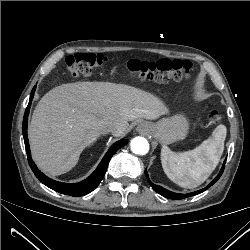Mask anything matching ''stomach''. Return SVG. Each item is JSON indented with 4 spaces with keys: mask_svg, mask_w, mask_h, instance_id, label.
I'll return each instance as SVG.
<instances>
[{
    "mask_svg": "<svg viewBox=\"0 0 250 250\" xmlns=\"http://www.w3.org/2000/svg\"><path fill=\"white\" fill-rule=\"evenodd\" d=\"M149 134L156 138L162 145L183 140L189 130L188 120L181 114L163 118L156 123H148Z\"/></svg>",
    "mask_w": 250,
    "mask_h": 250,
    "instance_id": "stomach-1",
    "label": "stomach"
}]
</instances>
